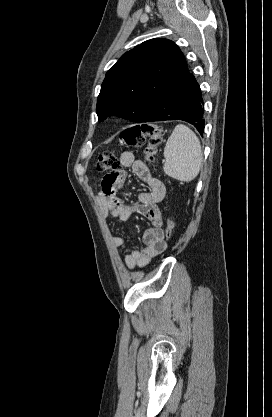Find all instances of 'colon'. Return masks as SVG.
<instances>
[{
  "label": "colon",
  "mask_w": 272,
  "mask_h": 417,
  "mask_svg": "<svg viewBox=\"0 0 272 417\" xmlns=\"http://www.w3.org/2000/svg\"><path fill=\"white\" fill-rule=\"evenodd\" d=\"M148 138L147 146L144 150L145 160L153 162L157 148L163 138V130L154 123L132 126L123 130L119 136V141L124 147H140ZM96 170L107 174H115L120 168V160L112 152H104L99 155L96 162ZM175 221L169 218L164 230V238L169 239L174 231Z\"/></svg>",
  "instance_id": "obj_1"
}]
</instances>
